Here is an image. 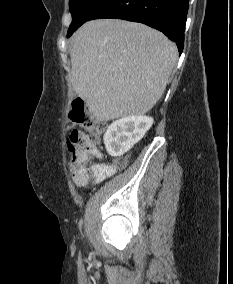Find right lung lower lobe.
<instances>
[{"label":"right lung lower lobe","mask_w":233,"mask_h":284,"mask_svg":"<svg viewBox=\"0 0 233 284\" xmlns=\"http://www.w3.org/2000/svg\"><path fill=\"white\" fill-rule=\"evenodd\" d=\"M189 0H108L88 20L115 18L140 22L163 32L184 47V30Z\"/></svg>","instance_id":"obj_1"}]
</instances>
